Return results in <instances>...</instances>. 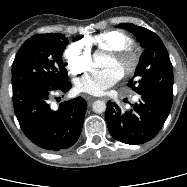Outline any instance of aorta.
I'll return each mask as SVG.
<instances>
[{
    "label": "aorta",
    "instance_id": "762f6f07",
    "mask_svg": "<svg viewBox=\"0 0 187 187\" xmlns=\"http://www.w3.org/2000/svg\"><path fill=\"white\" fill-rule=\"evenodd\" d=\"M100 55L99 54H95L94 55V61L96 63H100ZM106 103L104 101H101V100H97L93 103L92 105V110L95 112V113H103L106 111Z\"/></svg>",
    "mask_w": 187,
    "mask_h": 187
}]
</instances>
